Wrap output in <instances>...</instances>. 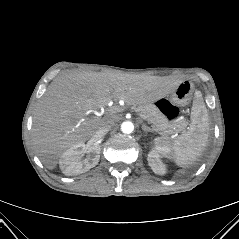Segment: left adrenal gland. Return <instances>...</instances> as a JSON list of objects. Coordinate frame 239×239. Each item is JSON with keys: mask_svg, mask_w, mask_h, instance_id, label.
Wrapping results in <instances>:
<instances>
[{"mask_svg": "<svg viewBox=\"0 0 239 239\" xmlns=\"http://www.w3.org/2000/svg\"><path fill=\"white\" fill-rule=\"evenodd\" d=\"M142 130L145 132V134H148V132L153 133V129H151L150 127H148L146 124H142Z\"/></svg>", "mask_w": 239, "mask_h": 239, "instance_id": "1", "label": "left adrenal gland"}]
</instances>
